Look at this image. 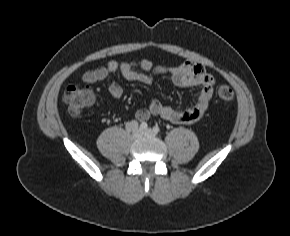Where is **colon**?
<instances>
[{
  "label": "colon",
  "instance_id": "5ec220e1",
  "mask_svg": "<svg viewBox=\"0 0 290 236\" xmlns=\"http://www.w3.org/2000/svg\"><path fill=\"white\" fill-rule=\"evenodd\" d=\"M217 96L222 101H230L234 92L230 86L222 84L217 88ZM63 100L67 104L69 112L77 115L93 104L95 93L88 86L70 85L63 94Z\"/></svg>",
  "mask_w": 290,
  "mask_h": 236
}]
</instances>
